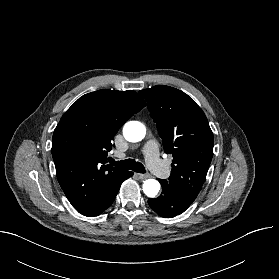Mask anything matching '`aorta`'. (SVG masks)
I'll list each match as a JSON object with an SVG mask.
<instances>
[{
	"label": "aorta",
	"mask_w": 279,
	"mask_h": 279,
	"mask_svg": "<svg viewBox=\"0 0 279 279\" xmlns=\"http://www.w3.org/2000/svg\"><path fill=\"white\" fill-rule=\"evenodd\" d=\"M123 135L129 142H139L146 135L145 126L138 121H129L123 127ZM160 190V183L155 179H147L143 183V191L148 197H155Z\"/></svg>",
	"instance_id": "1"
}]
</instances>
